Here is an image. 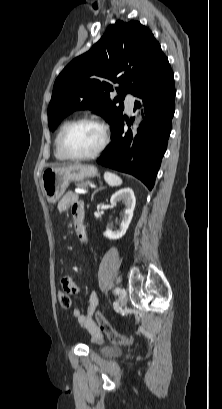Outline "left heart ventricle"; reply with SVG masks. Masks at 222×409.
Returning <instances> with one entry per match:
<instances>
[{
	"instance_id": "left-heart-ventricle-1",
	"label": "left heart ventricle",
	"mask_w": 222,
	"mask_h": 409,
	"mask_svg": "<svg viewBox=\"0 0 222 409\" xmlns=\"http://www.w3.org/2000/svg\"><path fill=\"white\" fill-rule=\"evenodd\" d=\"M103 140L102 129L91 123L75 127L66 139V147L73 155H87L95 152Z\"/></svg>"
}]
</instances>
